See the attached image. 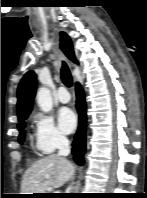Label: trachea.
<instances>
[{
  "instance_id": "trachea-1",
  "label": "trachea",
  "mask_w": 147,
  "mask_h": 198,
  "mask_svg": "<svg viewBox=\"0 0 147 198\" xmlns=\"http://www.w3.org/2000/svg\"><path fill=\"white\" fill-rule=\"evenodd\" d=\"M61 79L67 87L72 86V76L70 70L65 62H62Z\"/></svg>"
}]
</instances>
